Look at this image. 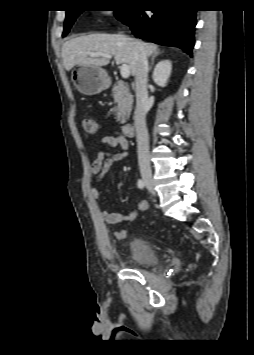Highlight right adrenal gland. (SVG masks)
<instances>
[{"label": "right adrenal gland", "mask_w": 254, "mask_h": 355, "mask_svg": "<svg viewBox=\"0 0 254 355\" xmlns=\"http://www.w3.org/2000/svg\"><path fill=\"white\" fill-rule=\"evenodd\" d=\"M160 54H161V52H159V51H157V52H155V53L153 54V56H152V58H151V64H150V67H149L148 72H150V71H151L152 66H153V64H154V60H155V58H156L158 55H160Z\"/></svg>", "instance_id": "2a0ac1e0"}]
</instances>
